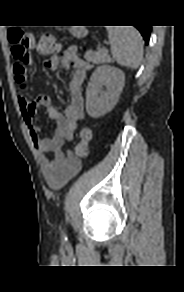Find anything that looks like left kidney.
<instances>
[{
	"instance_id": "obj_1",
	"label": "left kidney",
	"mask_w": 184,
	"mask_h": 292,
	"mask_svg": "<svg viewBox=\"0 0 184 292\" xmlns=\"http://www.w3.org/2000/svg\"><path fill=\"white\" fill-rule=\"evenodd\" d=\"M125 82L124 73L113 66L101 65L92 73L86 90V111L99 118L116 105Z\"/></svg>"
}]
</instances>
